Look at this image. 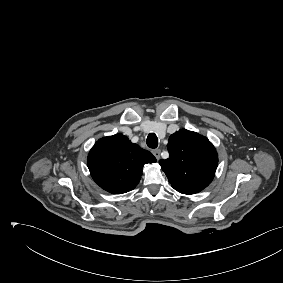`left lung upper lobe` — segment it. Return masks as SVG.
<instances>
[{
    "label": "left lung upper lobe",
    "mask_w": 283,
    "mask_h": 283,
    "mask_svg": "<svg viewBox=\"0 0 283 283\" xmlns=\"http://www.w3.org/2000/svg\"><path fill=\"white\" fill-rule=\"evenodd\" d=\"M167 148L169 158L160 160L159 164L176 191L195 194L211 183L218 156L206 137L181 129L170 136Z\"/></svg>",
    "instance_id": "5c2ea615"
}]
</instances>
